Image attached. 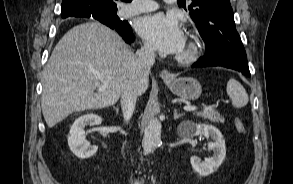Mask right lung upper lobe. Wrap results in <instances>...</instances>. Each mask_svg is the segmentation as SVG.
<instances>
[{
	"mask_svg": "<svg viewBox=\"0 0 293 184\" xmlns=\"http://www.w3.org/2000/svg\"><path fill=\"white\" fill-rule=\"evenodd\" d=\"M80 1L82 0H63L62 10H61L62 18H66L69 16L80 17L82 15L92 13V11H86L82 9L79 6ZM93 1H99L105 5V10L101 11L103 13L117 9L116 4L112 0H93Z\"/></svg>",
	"mask_w": 293,
	"mask_h": 184,
	"instance_id": "obj_1",
	"label": "right lung upper lobe"
}]
</instances>
